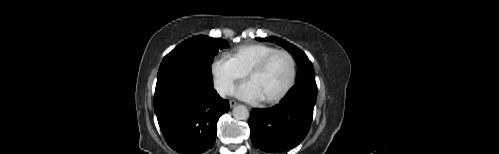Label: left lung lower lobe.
<instances>
[{"mask_svg": "<svg viewBox=\"0 0 499 154\" xmlns=\"http://www.w3.org/2000/svg\"><path fill=\"white\" fill-rule=\"evenodd\" d=\"M316 96L315 81L299 82L278 105L252 109L249 127L253 146L272 153L297 146L310 129Z\"/></svg>", "mask_w": 499, "mask_h": 154, "instance_id": "left-lung-lower-lobe-1", "label": "left lung lower lobe"}]
</instances>
